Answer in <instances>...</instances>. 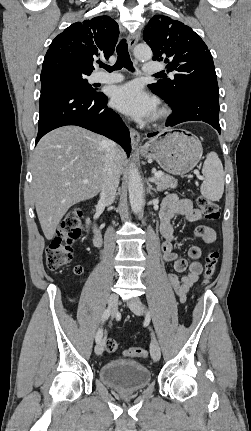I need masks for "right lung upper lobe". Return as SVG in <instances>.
Listing matches in <instances>:
<instances>
[{
    "label": "right lung upper lobe",
    "instance_id": "obj_1",
    "mask_svg": "<svg viewBox=\"0 0 251 431\" xmlns=\"http://www.w3.org/2000/svg\"><path fill=\"white\" fill-rule=\"evenodd\" d=\"M119 38L118 24L109 16L76 22L50 44L43 68L53 62L67 61L92 72L96 57L108 59Z\"/></svg>",
    "mask_w": 251,
    "mask_h": 431
}]
</instances>
